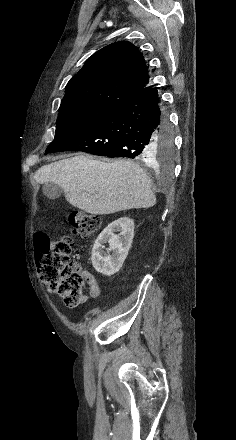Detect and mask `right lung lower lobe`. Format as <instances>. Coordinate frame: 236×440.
<instances>
[{
	"label": "right lung lower lobe",
	"mask_w": 236,
	"mask_h": 440,
	"mask_svg": "<svg viewBox=\"0 0 236 440\" xmlns=\"http://www.w3.org/2000/svg\"><path fill=\"white\" fill-rule=\"evenodd\" d=\"M168 130L156 87L116 106L84 132L50 152L83 151L99 156L150 161L156 139Z\"/></svg>",
	"instance_id": "98d812e1"
}]
</instances>
